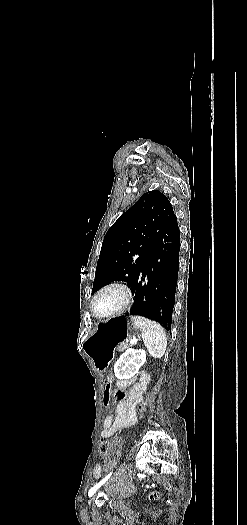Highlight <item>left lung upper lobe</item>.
Masks as SVG:
<instances>
[{
  "instance_id": "left-lung-upper-lobe-1",
  "label": "left lung upper lobe",
  "mask_w": 247,
  "mask_h": 525,
  "mask_svg": "<svg viewBox=\"0 0 247 525\" xmlns=\"http://www.w3.org/2000/svg\"><path fill=\"white\" fill-rule=\"evenodd\" d=\"M174 211L167 197L148 191L107 231L97 262L92 293L112 281L130 286L146 263L152 240Z\"/></svg>"
}]
</instances>
